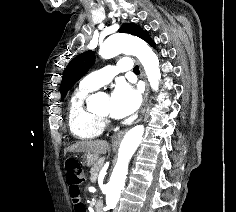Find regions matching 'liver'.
I'll return each instance as SVG.
<instances>
[{
    "label": "liver",
    "mask_w": 236,
    "mask_h": 212,
    "mask_svg": "<svg viewBox=\"0 0 236 212\" xmlns=\"http://www.w3.org/2000/svg\"><path fill=\"white\" fill-rule=\"evenodd\" d=\"M109 149V143L104 140L79 141L69 146L65 152H83L94 156L105 154Z\"/></svg>",
    "instance_id": "obj_1"
}]
</instances>
